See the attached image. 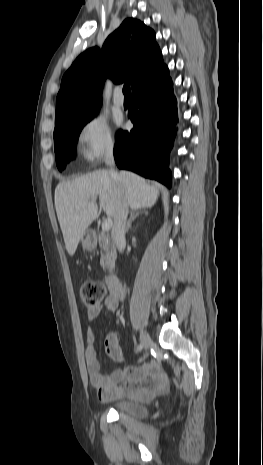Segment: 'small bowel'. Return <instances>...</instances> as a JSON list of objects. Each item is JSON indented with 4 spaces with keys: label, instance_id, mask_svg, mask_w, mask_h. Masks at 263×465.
<instances>
[{
    "label": "small bowel",
    "instance_id": "c3829d8e",
    "mask_svg": "<svg viewBox=\"0 0 263 465\" xmlns=\"http://www.w3.org/2000/svg\"><path fill=\"white\" fill-rule=\"evenodd\" d=\"M119 300L120 298L110 293L102 304L88 308V319L95 320L103 309L115 311ZM94 342L95 333L89 327L86 331V366L90 383L97 389L100 400L108 401L121 397L146 399L166 388V376L153 361L139 366H118L113 372L103 374L94 349ZM105 349L115 362L121 363L122 351L116 334L112 333L106 337Z\"/></svg>",
    "mask_w": 263,
    "mask_h": 465
}]
</instances>
